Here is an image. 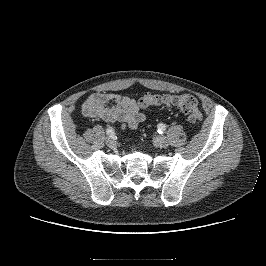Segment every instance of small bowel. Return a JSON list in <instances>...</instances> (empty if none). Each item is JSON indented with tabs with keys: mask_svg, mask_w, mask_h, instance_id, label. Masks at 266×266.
<instances>
[{
	"mask_svg": "<svg viewBox=\"0 0 266 266\" xmlns=\"http://www.w3.org/2000/svg\"><path fill=\"white\" fill-rule=\"evenodd\" d=\"M82 115L109 123H119L125 129L134 130L146 116L138 102L113 92H95L82 104Z\"/></svg>",
	"mask_w": 266,
	"mask_h": 266,
	"instance_id": "obj_1",
	"label": "small bowel"
}]
</instances>
